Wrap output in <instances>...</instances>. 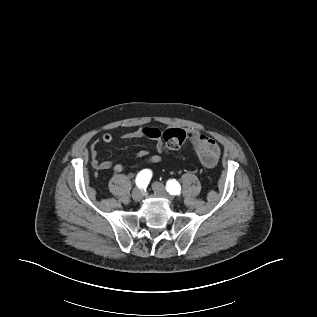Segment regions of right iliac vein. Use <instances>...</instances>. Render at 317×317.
Wrapping results in <instances>:
<instances>
[{
    "label": "right iliac vein",
    "instance_id": "63e3f726",
    "mask_svg": "<svg viewBox=\"0 0 317 317\" xmlns=\"http://www.w3.org/2000/svg\"><path fill=\"white\" fill-rule=\"evenodd\" d=\"M132 198H133L135 201H141L142 198H143V193H142L141 189L135 188V189L132 191Z\"/></svg>",
    "mask_w": 317,
    "mask_h": 317
}]
</instances>
